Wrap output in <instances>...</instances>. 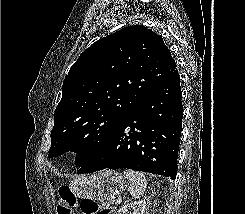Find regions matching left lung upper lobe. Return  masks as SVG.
<instances>
[{"label":"left lung upper lobe","instance_id":"1","mask_svg":"<svg viewBox=\"0 0 245 214\" xmlns=\"http://www.w3.org/2000/svg\"><path fill=\"white\" fill-rule=\"evenodd\" d=\"M175 69L162 37L142 25L93 43L64 79L48 157L74 151L82 166Z\"/></svg>","mask_w":245,"mask_h":214}]
</instances>
